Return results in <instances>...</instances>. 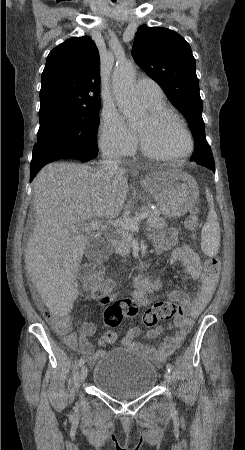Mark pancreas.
Returning <instances> with one entry per match:
<instances>
[{
	"label": "pancreas",
	"mask_w": 245,
	"mask_h": 450,
	"mask_svg": "<svg viewBox=\"0 0 245 450\" xmlns=\"http://www.w3.org/2000/svg\"><path fill=\"white\" fill-rule=\"evenodd\" d=\"M143 212L148 213L146 223L149 227L155 229H163L167 227L165 219L160 217V213L158 211H152L149 210L148 208H144ZM118 234L120 238L118 240L115 250L123 257L128 256L131 250L133 233L130 230L121 228L118 230Z\"/></svg>",
	"instance_id": "pancreas-1"
}]
</instances>
